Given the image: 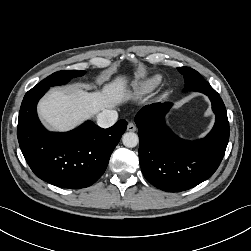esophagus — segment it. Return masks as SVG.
Wrapping results in <instances>:
<instances>
[{
	"mask_svg": "<svg viewBox=\"0 0 251 251\" xmlns=\"http://www.w3.org/2000/svg\"><path fill=\"white\" fill-rule=\"evenodd\" d=\"M136 125H135V123L134 122H129L128 123V127H127V130L128 131H130V132H134V131H136Z\"/></svg>",
	"mask_w": 251,
	"mask_h": 251,
	"instance_id": "34e87169",
	"label": "esophagus"
}]
</instances>
